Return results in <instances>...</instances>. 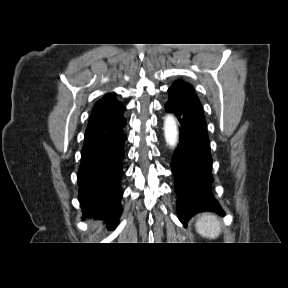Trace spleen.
Returning <instances> with one entry per match:
<instances>
[{"label": "spleen", "mask_w": 288, "mask_h": 288, "mask_svg": "<svg viewBox=\"0 0 288 288\" xmlns=\"http://www.w3.org/2000/svg\"><path fill=\"white\" fill-rule=\"evenodd\" d=\"M195 228L201 236L209 239H215L221 233L220 221L210 213L203 214L196 222Z\"/></svg>", "instance_id": "1"}]
</instances>
